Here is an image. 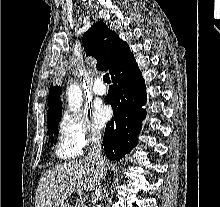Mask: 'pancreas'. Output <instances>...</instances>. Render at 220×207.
Masks as SVG:
<instances>
[{
  "label": "pancreas",
  "mask_w": 220,
  "mask_h": 207,
  "mask_svg": "<svg viewBox=\"0 0 220 207\" xmlns=\"http://www.w3.org/2000/svg\"><path fill=\"white\" fill-rule=\"evenodd\" d=\"M69 207H81V204H80L79 200H77V202L74 206H69Z\"/></svg>",
  "instance_id": "1"
}]
</instances>
